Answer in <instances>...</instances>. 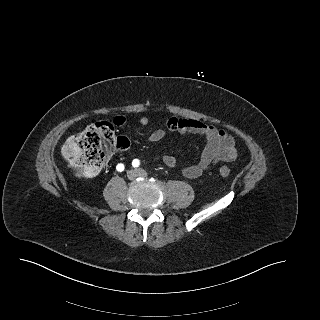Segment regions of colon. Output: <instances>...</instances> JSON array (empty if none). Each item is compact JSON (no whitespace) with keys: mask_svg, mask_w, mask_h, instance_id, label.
I'll use <instances>...</instances> for the list:
<instances>
[{"mask_svg":"<svg viewBox=\"0 0 320 320\" xmlns=\"http://www.w3.org/2000/svg\"><path fill=\"white\" fill-rule=\"evenodd\" d=\"M128 146L129 140L123 136L117 137L111 122L99 121L68 138L62 147V155L78 176L92 177L98 173L112 150ZM218 172L222 177H228L231 169L222 165Z\"/></svg>","mask_w":320,"mask_h":320,"instance_id":"5ec220e1","label":"colon"}]
</instances>
